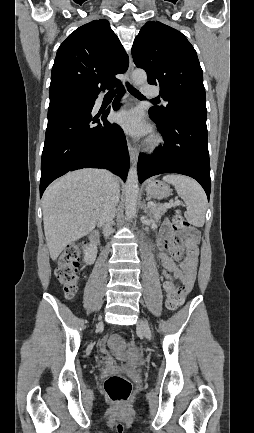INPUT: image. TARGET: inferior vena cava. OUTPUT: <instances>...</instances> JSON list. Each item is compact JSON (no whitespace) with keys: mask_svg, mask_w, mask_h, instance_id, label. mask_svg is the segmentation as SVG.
I'll return each mask as SVG.
<instances>
[{"mask_svg":"<svg viewBox=\"0 0 254 433\" xmlns=\"http://www.w3.org/2000/svg\"><path fill=\"white\" fill-rule=\"evenodd\" d=\"M106 176V198L100 220L104 224L103 234L108 237L111 234V221L115 216L116 206L119 201L120 190L117 178L108 171H105Z\"/></svg>","mask_w":254,"mask_h":433,"instance_id":"obj_1","label":"inferior vena cava"}]
</instances>
